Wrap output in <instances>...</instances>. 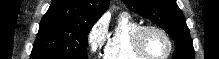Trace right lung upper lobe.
<instances>
[{
    "instance_id": "obj_1",
    "label": "right lung upper lobe",
    "mask_w": 219,
    "mask_h": 59,
    "mask_svg": "<svg viewBox=\"0 0 219 59\" xmlns=\"http://www.w3.org/2000/svg\"><path fill=\"white\" fill-rule=\"evenodd\" d=\"M110 0H53L42 19L96 22L107 10Z\"/></svg>"
}]
</instances>
